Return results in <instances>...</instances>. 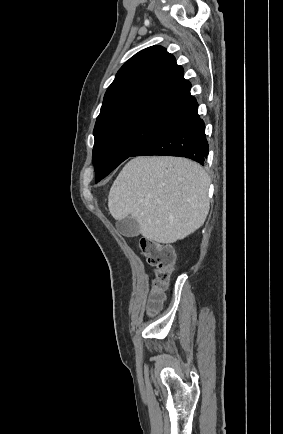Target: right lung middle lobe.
Returning <instances> with one entry per match:
<instances>
[{
	"instance_id": "1",
	"label": "right lung middle lobe",
	"mask_w": 283,
	"mask_h": 434,
	"mask_svg": "<svg viewBox=\"0 0 283 434\" xmlns=\"http://www.w3.org/2000/svg\"><path fill=\"white\" fill-rule=\"evenodd\" d=\"M172 120L148 113H130L95 125L93 165L96 183L106 177Z\"/></svg>"
}]
</instances>
